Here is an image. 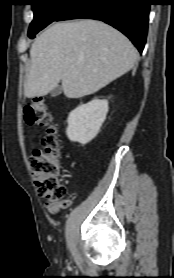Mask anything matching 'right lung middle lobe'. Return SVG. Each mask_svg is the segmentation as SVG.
<instances>
[{"instance_id": "right-lung-middle-lobe-1", "label": "right lung middle lobe", "mask_w": 174, "mask_h": 278, "mask_svg": "<svg viewBox=\"0 0 174 278\" xmlns=\"http://www.w3.org/2000/svg\"><path fill=\"white\" fill-rule=\"evenodd\" d=\"M75 0H30L34 19L30 24L28 36L33 39L35 34L55 21L60 14Z\"/></svg>"}]
</instances>
